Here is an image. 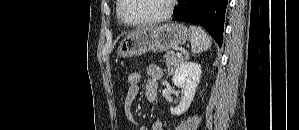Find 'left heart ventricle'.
Listing matches in <instances>:
<instances>
[{"instance_id":"obj_1","label":"left heart ventricle","mask_w":299,"mask_h":130,"mask_svg":"<svg viewBox=\"0 0 299 130\" xmlns=\"http://www.w3.org/2000/svg\"><path fill=\"white\" fill-rule=\"evenodd\" d=\"M168 0H127L125 16L133 22L146 21L163 14Z\"/></svg>"}]
</instances>
